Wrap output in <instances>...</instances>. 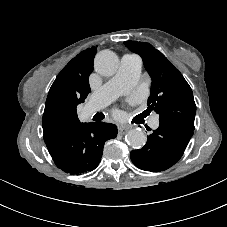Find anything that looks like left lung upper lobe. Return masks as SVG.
<instances>
[{"mask_svg":"<svg viewBox=\"0 0 227 227\" xmlns=\"http://www.w3.org/2000/svg\"><path fill=\"white\" fill-rule=\"evenodd\" d=\"M139 54L152 79L148 108L159 114V121L170 122L194 131L196 105L192 90L183 75L150 43L125 41Z\"/></svg>","mask_w":227,"mask_h":227,"instance_id":"left-lung-upper-lobe-1","label":"left lung upper lobe"}]
</instances>
